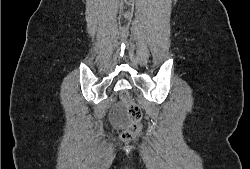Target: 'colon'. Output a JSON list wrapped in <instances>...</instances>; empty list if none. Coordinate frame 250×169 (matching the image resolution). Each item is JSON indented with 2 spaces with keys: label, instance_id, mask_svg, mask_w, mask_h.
<instances>
[{
  "label": "colon",
  "instance_id": "5ec220e1",
  "mask_svg": "<svg viewBox=\"0 0 250 169\" xmlns=\"http://www.w3.org/2000/svg\"><path fill=\"white\" fill-rule=\"evenodd\" d=\"M123 92H118V100L121 101L122 104L127 106L124 109V115H129L127 118H130V122H128V126H125V130L121 131L119 134V139H123L124 141L133 139V135L136 134V131H142V127H144V115H142V111L138 106L139 100L134 99L133 96L129 94V88H123ZM127 109V110H125ZM136 138H139V135H136Z\"/></svg>",
  "mask_w": 250,
  "mask_h": 169
}]
</instances>
